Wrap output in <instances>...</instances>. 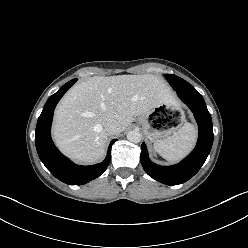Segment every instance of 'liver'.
I'll use <instances>...</instances> for the list:
<instances>
[{
    "label": "liver",
    "mask_w": 248,
    "mask_h": 248,
    "mask_svg": "<svg viewBox=\"0 0 248 248\" xmlns=\"http://www.w3.org/2000/svg\"><path fill=\"white\" fill-rule=\"evenodd\" d=\"M161 104H175L166 82L152 74L94 76L73 86L55 110L53 138L71 159L92 164L103 159L108 134L117 121L123 132L134 117Z\"/></svg>",
    "instance_id": "liver-1"
}]
</instances>
